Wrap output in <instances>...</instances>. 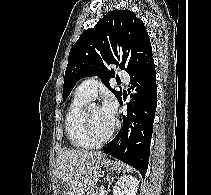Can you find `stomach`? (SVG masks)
<instances>
[{"mask_svg":"<svg viewBox=\"0 0 211 195\" xmlns=\"http://www.w3.org/2000/svg\"><path fill=\"white\" fill-rule=\"evenodd\" d=\"M105 168L107 170H121L122 168H124V164L119 162V161H113L110 159H103L98 167L91 172V174L89 175V183L91 184V188L97 183V181L99 180L100 176H101V168ZM58 186L60 187H64V185H62L61 183H58ZM89 190V189H88ZM63 195H69L67 194V190L63 188ZM86 192V191H85ZM78 194V195H84V193Z\"/></svg>","mask_w":211,"mask_h":195,"instance_id":"1","label":"stomach"}]
</instances>
